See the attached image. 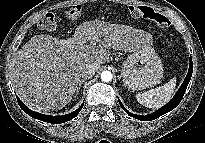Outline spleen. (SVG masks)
I'll return each mask as SVG.
<instances>
[{"label":"spleen","instance_id":"obj_1","mask_svg":"<svg viewBox=\"0 0 205 143\" xmlns=\"http://www.w3.org/2000/svg\"><path fill=\"white\" fill-rule=\"evenodd\" d=\"M176 78H172L163 86L137 94V101L148 108H160L170 101L176 88Z\"/></svg>","mask_w":205,"mask_h":143}]
</instances>
